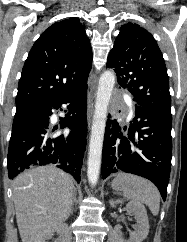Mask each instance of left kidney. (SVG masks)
Wrapping results in <instances>:
<instances>
[{
  "label": "left kidney",
  "mask_w": 187,
  "mask_h": 242,
  "mask_svg": "<svg viewBox=\"0 0 187 242\" xmlns=\"http://www.w3.org/2000/svg\"><path fill=\"white\" fill-rule=\"evenodd\" d=\"M118 203H122V201L119 199L115 201H110L112 207H115V205ZM126 209L129 214L135 216L136 224L134 226V231L128 240H124L123 235L121 233V226H115L114 234L116 242H142L149 233V222L146 209L144 205H142L141 203L133 201L127 203Z\"/></svg>",
  "instance_id": "5707ae66"
}]
</instances>
